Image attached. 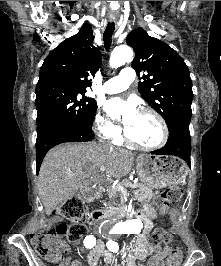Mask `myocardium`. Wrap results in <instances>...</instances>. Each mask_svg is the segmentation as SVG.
I'll list each match as a JSON object with an SVG mask.
<instances>
[{"mask_svg": "<svg viewBox=\"0 0 221 266\" xmlns=\"http://www.w3.org/2000/svg\"><path fill=\"white\" fill-rule=\"evenodd\" d=\"M140 113L149 114L156 119V121L158 122L160 129H161L160 139L152 145H144V144L138 143L137 141L132 139L125 128L123 130L124 140L129 145H131L137 149L144 150V151H151V150H155V149L162 147L167 142L168 135H169V129H168L166 121L157 111H155L154 109H151V108H143L140 111Z\"/></svg>", "mask_w": 221, "mask_h": 266, "instance_id": "f54148a6", "label": "myocardium"}]
</instances>
